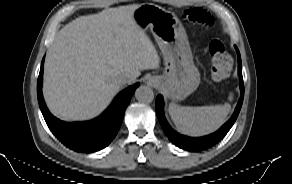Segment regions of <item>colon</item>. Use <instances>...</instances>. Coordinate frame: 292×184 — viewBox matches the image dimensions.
<instances>
[{"label": "colon", "instance_id": "colon-1", "mask_svg": "<svg viewBox=\"0 0 292 184\" xmlns=\"http://www.w3.org/2000/svg\"><path fill=\"white\" fill-rule=\"evenodd\" d=\"M186 18L190 22L204 24H209L211 22L210 15L201 9L187 11ZM207 50L210 53L213 62L212 77L215 81H221L229 75L232 67V59L219 41H212L207 46Z\"/></svg>", "mask_w": 292, "mask_h": 184}]
</instances>
